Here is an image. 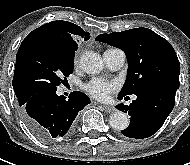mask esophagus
<instances>
[{"instance_id": "1", "label": "esophagus", "mask_w": 190, "mask_h": 165, "mask_svg": "<svg viewBox=\"0 0 190 165\" xmlns=\"http://www.w3.org/2000/svg\"><path fill=\"white\" fill-rule=\"evenodd\" d=\"M103 107V109L108 112V113H112L115 112V108L108 106V105H101Z\"/></svg>"}]
</instances>
